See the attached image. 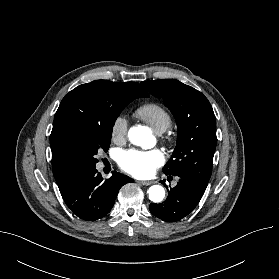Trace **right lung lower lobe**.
Here are the masks:
<instances>
[{
  "label": "right lung lower lobe",
  "instance_id": "1",
  "mask_svg": "<svg viewBox=\"0 0 279 279\" xmlns=\"http://www.w3.org/2000/svg\"><path fill=\"white\" fill-rule=\"evenodd\" d=\"M133 181L116 171L104 180L95 167L83 168L60 192L68 208L78 218L95 221L110 212L119 189Z\"/></svg>",
  "mask_w": 279,
  "mask_h": 279
}]
</instances>
